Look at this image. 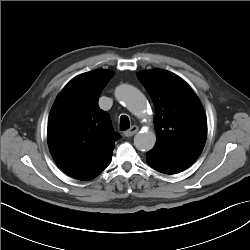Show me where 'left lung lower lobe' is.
<instances>
[{
  "label": "left lung lower lobe",
  "mask_w": 250,
  "mask_h": 250,
  "mask_svg": "<svg viewBox=\"0 0 250 250\" xmlns=\"http://www.w3.org/2000/svg\"><path fill=\"white\" fill-rule=\"evenodd\" d=\"M198 157L170 155L154 150L146 153V161L149 166L165 174H176L191 166Z\"/></svg>",
  "instance_id": "obj_1"
}]
</instances>
